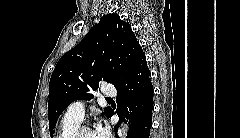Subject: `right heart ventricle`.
Masks as SVG:
<instances>
[{"instance_id": "e07e8e85", "label": "right heart ventricle", "mask_w": 240, "mask_h": 138, "mask_svg": "<svg viewBox=\"0 0 240 138\" xmlns=\"http://www.w3.org/2000/svg\"><path fill=\"white\" fill-rule=\"evenodd\" d=\"M80 123L81 121L78 119L65 116L60 124L57 138H71Z\"/></svg>"}]
</instances>
